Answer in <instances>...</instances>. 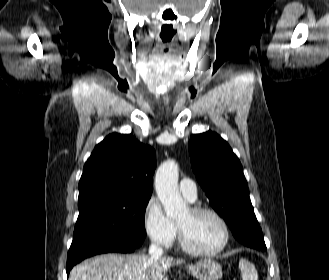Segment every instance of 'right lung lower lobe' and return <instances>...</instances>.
I'll return each instance as SVG.
<instances>
[{"instance_id":"1","label":"right lung lower lobe","mask_w":329,"mask_h":280,"mask_svg":"<svg viewBox=\"0 0 329 280\" xmlns=\"http://www.w3.org/2000/svg\"><path fill=\"white\" fill-rule=\"evenodd\" d=\"M136 248L134 246H127L123 244H118L114 242H94L87 245L85 248L76 252L72 257L67 258L66 272L69 275L70 270L74 265L79 263L85 258L91 257L93 255L108 253V252H121V253H131Z\"/></svg>"}]
</instances>
